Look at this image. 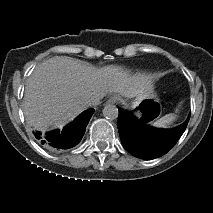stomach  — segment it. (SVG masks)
<instances>
[{
    "instance_id": "0dacf381",
    "label": "stomach",
    "mask_w": 213,
    "mask_h": 213,
    "mask_svg": "<svg viewBox=\"0 0 213 213\" xmlns=\"http://www.w3.org/2000/svg\"><path fill=\"white\" fill-rule=\"evenodd\" d=\"M144 101L146 102L153 101L160 105V101L157 98V95L154 93V88L152 85H149V88L142 90L136 96H134V98L131 99V101H128V106L136 108L137 112H140V105Z\"/></svg>"
}]
</instances>
